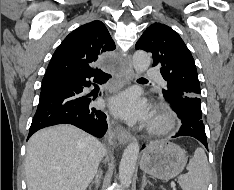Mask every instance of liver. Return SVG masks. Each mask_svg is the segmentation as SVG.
Wrapping results in <instances>:
<instances>
[{
  "label": "liver",
  "instance_id": "liver-1",
  "mask_svg": "<svg viewBox=\"0 0 234 190\" xmlns=\"http://www.w3.org/2000/svg\"><path fill=\"white\" fill-rule=\"evenodd\" d=\"M105 155L99 140L72 125L39 130L26 148L27 190H86Z\"/></svg>",
  "mask_w": 234,
  "mask_h": 190
}]
</instances>
